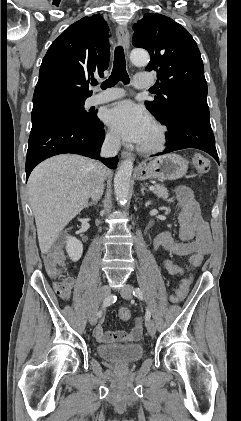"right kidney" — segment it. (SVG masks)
Returning a JSON list of instances; mask_svg holds the SVG:
<instances>
[{
  "label": "right kidney",
  "mask_w": 241,
  "mask_h": 421,
  "mask_svg": "<svg viewBox=\"0 0 241 421\" xmlns=\"http://www.w3.org/2000/svg\"><path fill=\"white\" fill-rule=\"evenodd\" d=\"M66 251L70 259L74 262L78 261L83 253L82 243L75 237H67Z\"/></svg>",
  "instance_id": "1"
}]
</instances>
